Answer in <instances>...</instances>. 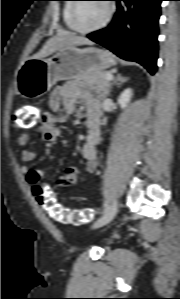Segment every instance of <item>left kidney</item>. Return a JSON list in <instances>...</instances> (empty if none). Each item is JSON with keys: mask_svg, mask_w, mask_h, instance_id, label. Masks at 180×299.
<instances>
[{"mask_svg": "<svg viewBox=\"0 0 180 299\" xmlns=\"http://www.w3.org/2000/svg\"><path fill=\"white\" fill-rule=\"evenodd\" d=\"M133 92L132 89H125L118 98V104L122 109H124L132 98Z\"/></svg>", "mask_w": 180, "mask_h": 299, "instance_id": "left-kidney-1", "label": "left kidney"}]
</instances>
